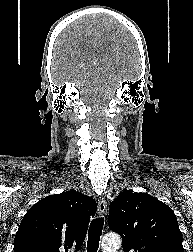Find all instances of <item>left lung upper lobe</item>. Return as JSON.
<instances>
[{
  "label": "left lung upper lobe",
  "instance_id": "left-lung-upper-lobe-1",
  "mask_svg": "<svg viewBox=\"0 0 193 252\" xmlns=\"http://www.w3.org/2000/svg\"><path fill=\"white\" fill-rule=\"evenodd\" d=\"M108 220L124 252H184L174 212L147 193L121 192L110 204Z\"/></svg>",
  "mask_w": 193,
  "mask_h": 252
}]
</instances>
